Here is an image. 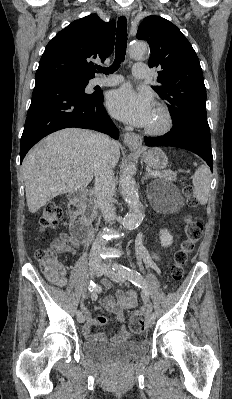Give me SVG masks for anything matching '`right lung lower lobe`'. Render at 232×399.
Instances as JSON below:
<instances>
[{"mask_svg": "<svg viewBox=\"0 0 232 399\" xmlns=\"http://www.w3.org/2000/svg\"><path fill=\"white\" fill-rule=\"evenodd\" d=\"M84 90L65 78L36 80L21 137L20 162L39 140L66 127L93 129L119 138L103 107L102 92L86 94Z\"/></svg>", "mask_w": 232, "mask_h": 399, "instance_id": "1", "label": "right lung lower lobe"}]
</instances>
